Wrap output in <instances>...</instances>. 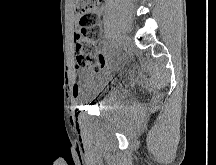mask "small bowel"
Instances as JSON below:
<instances>
[{
    "label": "small bowel",
    "mask_w": 216,
    "mask_h": 165,
    "mask_svg": "<svg viewBox=\"0 0 216 165\" xmlns=\"http://www.w3.org/2000/svg\"><path fill=\"white\" fill-rule=\"evenodd\" d=\"M103 7H100L96 10V14L97 15H101L102 12H103ZM91 87V82H90V78L85 76L84 77V85L82 87H76L74 88L73 90V94H74V97H78L81 93L87 91L88 92V89Z\"/></svg>",
    "instance_id": "1"
}]
</instances>
